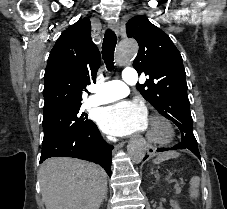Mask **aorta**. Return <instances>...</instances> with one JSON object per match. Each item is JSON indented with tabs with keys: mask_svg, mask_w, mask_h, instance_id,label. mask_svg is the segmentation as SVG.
<instances>
[{
	"mask_svg": "<svg viewBox=\"0 0 227 209\" xmlns=\"http://www.w3.org/2000/svg\"><path fill=\"white\" fill-rule=\"evenodd\" d=\"M138 52V44L133 39L120 42L116 55V63L120 66L128 64ZM128 155L134 163H140L145 156V146L142 142H134L128 147Z\"/></svg>",
	"mask_w": 227,
	"mask_h": 209,
	"instance_id": "obj_1",
	"label": "aorta"
}]
</instances>
